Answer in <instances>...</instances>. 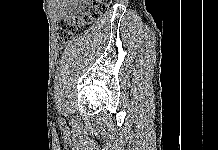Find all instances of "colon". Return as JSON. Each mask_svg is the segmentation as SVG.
<instances>
[{
  "mask_svg": "<svg viewBox=\"0 0 218 150\" xmlns=\"http://www.w3.org/2000/svg\"><path fill=\"white\" fill-rule=\"evenodd\" d=\"M112 0H94L84 15L72 14L68 18L61 19L57 28L56 38L59 48L64 47L80 27L83 20H96L108 12Z\"/></svg>",
  "mask_w": 218,
  "mask_h": 150,
  "instance_id": "colon-1",
  "label": "colon"
}]
</instances>
